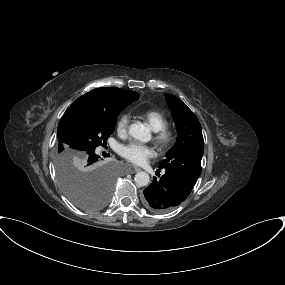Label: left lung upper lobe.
<instances>
[{
  "mask_svg": "<svg viewBox=\"0 0 285 285\" xmlns=\"http://www.w3.org/2000/svg\"><path fill=\"white\" fill-rule=\"evenodd\" d=\"M164 96L176 124L177 141L166 153V158L160 162L159 168L181 173L196 183L201 173V159L204 153L201 125L182 100L168 93Z\"/></svg>",
  "mask_w": 285,
  "mask_h": 285,
  "instance_id": "5c2ea615",
  "label": "left lung upper lobe"
}]
</instances>
